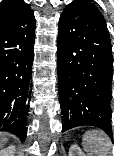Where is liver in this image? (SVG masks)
Returning <instances> with one entry per match:
<instances>
[{"mask_svg": "<svg viewBox=\"0 0 114 156\" xmlns=\"http://www.w3.org/2000/svg\"><path fill=\"white\" fill-rule=\"evenodd\" d=\"M8 133L0 132V149L4 147V145L8 141Z\"/></svg>", "mask_w": 114, "mask_h": 156, "instance_id": "6515ba94", "label": "liver"}]
</instances>
